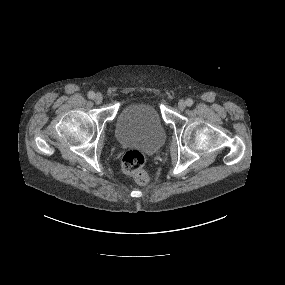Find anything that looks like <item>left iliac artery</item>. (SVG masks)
<instances>
[{
    "instance_id": "1",
    "label": "left iliac artery",
    "mask_w": 285,
    "mask_h": 285,
    "mask_svg": "<svg viewBox=\"0 0 285 285\" xmlns=\"http://www.w3.org/2000/svg\"><path fill=\"white\" fill-rule=\"evenodd\" d=\"M193 103H194V102H193V100H192V99H190V98L186 100V104H187V106H192V105H193Z\"/></svg>"
}]
</instances>
